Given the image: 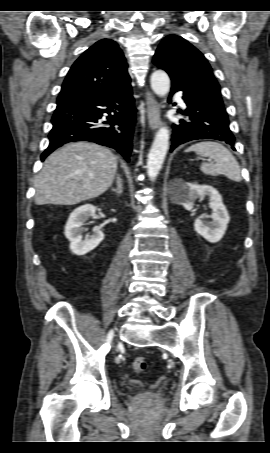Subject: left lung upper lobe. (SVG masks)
Returning a JSON list of instances; mask_svg holds the SVG:
<instances>
[{
    "label": "left lung upper lobe",
    "mask_w": 270,
    "mask_h": 453,
    "mask_svg": "<svg viewBox=\"0 0 270 453\" xmlns=\"http://www.w3.org/2000/svg\"><path fill=\"white\" fill-rule=\"evenodd\" d=\"M153 62L165 70L172 84L180 85L192 97L224 109L220 86L204 55L180 36L164 38Z\"/></svg>",
    "instance_id": "5c2ea615"
}]
</instances>
